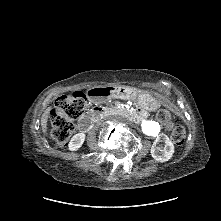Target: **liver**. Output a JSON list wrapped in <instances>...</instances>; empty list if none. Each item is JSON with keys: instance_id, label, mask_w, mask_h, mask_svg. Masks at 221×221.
Returning a JSON list of instances; mask_svg holds the SVG:
<instances>
[{"instance_id": "obj_1", "label": "liver", "mask_w": 221, "mask_h": 221, "mask_svg": "<svg viewBox=\"0 0 221 221\" xmlns=\"http://www.w3.org/2000/svg\"><path fill=\"white\" fill-rule=\"evenodd\" d=\"M50 110H51V107H48L42 114V117H41V129H42V132L44 134L47 133V121H48V118H49V113H50Z\"/></svg>"}]
</instances>
